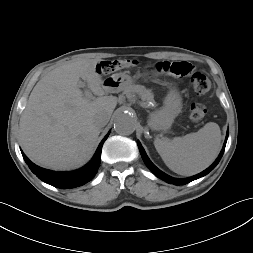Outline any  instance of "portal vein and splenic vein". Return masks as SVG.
I'll list each match as a JSON object with an SVG mask.
<instances>
[{"instance_id": "1", "label": "portal vein and splenic vein", "mask_w": 253, "mask_h": 253, "mask_svg": "<svg viewBox=\"0 0 253 253\" xmlns=\"http://www.w3.org/2000/svg\"><path fill=\"white\" fill-rule=\"evenodd\" d=\"M80 85H81V86H84L83 83H81ZM84 94H85V96H86V98H87L88 100H90V99L92 98V93H91L88 89H85Z\"/></svg>"}]
</instances>
